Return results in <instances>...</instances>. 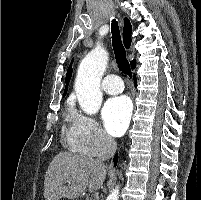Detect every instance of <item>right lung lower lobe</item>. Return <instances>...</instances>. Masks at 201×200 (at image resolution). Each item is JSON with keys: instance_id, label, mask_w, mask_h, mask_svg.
<instances>
[{"instance_id": "1", "label": "right lung lower lobe", "mask_w": 201, "mask_h": 200, "mask_svg": "<svg viewBox=\"0 0 201 200\" xmlns=\"http://www.w3.org/2000/svg\"><path fill=\"white\" fill-rule=\"evenodd\" d=\"M113 162H114V165L116 166L118 162V154L115 155Z\"/></svg>"}]
</instances>
